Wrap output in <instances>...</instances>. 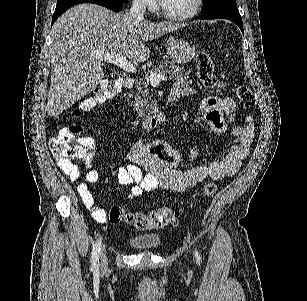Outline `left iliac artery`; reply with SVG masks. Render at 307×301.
I'll return each mask as SVG.
<instances>
[{
	"mask_svg": "<svg viewBox=\"0 0 307 301\" xmlns=\"http://www.w3.org/2000/svg\"><path fill=\"white\" fill-rule=\"evenodd\" d=\"M195 257H196L197 263L200 265L201 257H200V254L197 251H195Z\"/></svg>",
	"mask_w": 307,
	"mask_h": 301,
	"instance_id": "left-iliac-artery-1",
	"label": "left iliac artery"
}]
</instances>
